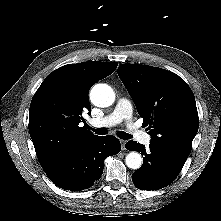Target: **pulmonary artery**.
<instances>
[{
	"instance_id": "pulmonary-artery-1",
	"label": "pulmonary artery",
	"mask_w": 221,
	"mask_h": 221,
	"mask_svg": "<svg viewBox=\"0 0 221 221\" xmlns=\"http://www.w3.org/2000/svg\"><path fill=\"white\" fill-rule=\"evenodd\" d=\"M126 121L131 135L139 142L148 145L151 141L150 135L139 130L132 122V106L129 100L119 99L113 112L105 117L94 118L90 120L93 127H108Z\"/></svg>"
}]
</instances>
